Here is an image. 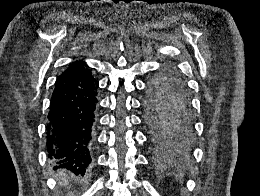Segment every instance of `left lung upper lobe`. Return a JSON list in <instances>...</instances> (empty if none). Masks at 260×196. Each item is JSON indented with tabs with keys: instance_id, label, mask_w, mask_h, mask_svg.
<instances>
[{
	"instance_id": "left-lung-upper-lobe-1",
	"label": "left lung upper lobe",
	"mask_w": 260,
	"mask_h": 196,
	"mask_svg": "<svg viewBox=\"0 0 260 196\" xmlns=\"http://www.w3.org/2000/svg\"><path fill=\"white\" fill-rule=\"evenodd\" d=\"M143 106L148 136L157 150H180L193 142L195 116L185 83L173 68L149 81Z\"/></svg>"
}]
</instances>
